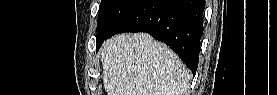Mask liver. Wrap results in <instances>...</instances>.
I'll return each instance as SVG.
<instances>
[{"label": "liver", "instance_id": "6515ba94", "mask_svg": "<svg viewBox=\"0 0 277 95\" xmlns=\"http://www.w3.org/2000/svg\"><path fill=\"white\" fill-rule=\"evenodd\" d=\"M107 95H187L191 73L165 44L147 33L120 34L101 49Z\"/></svg>", "mask_w": 277, "mask_h": 95}]
</instances>
